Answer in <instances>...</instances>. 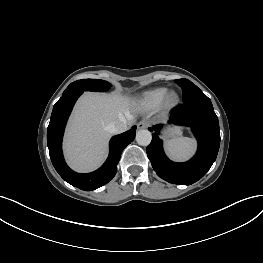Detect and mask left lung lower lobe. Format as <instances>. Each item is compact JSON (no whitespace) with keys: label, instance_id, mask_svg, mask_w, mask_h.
Returning a JSON list of instances; mask_svg holds the SVG:
<instances>
[{"label":"left lung lower lobe","instance_id":"obj_1","mask_svg":"<svg viewBox=\"0 0 263 263\" xmlns=\"http://www.w3.org/2000/svg\"><path fill=\"white\" fill-rule=\"evenodd\" d=\"M169 123L192 128L198 140L196 155L185 163L169 160L158 137L162 125L148 128L152 141L147 147V155L158 176L172 184L190 185L201 179L214 163L220 146L219 122L210 99L199 96L177 107Z\"/></svg>","mask_w":263,"mask_h":263}]
</instances>
